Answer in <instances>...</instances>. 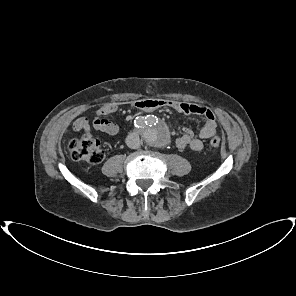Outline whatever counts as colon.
<instances>
[{
	"label": "colon",
	"instance_id": "1",
	"mask_svg": "<svg viewBox=\"0 0 296 296\" xmlns=\"http://www.w3.org/2000/svg\"><path fill=\"white\" fill-rule=\"evenodd\" d=\"M209 145L213 149L219 148L221 140L218 137H213ZM71 157L75 161L84 162L88 164H98L104 159V151L101 147L100 141L90 133L73 138L68 145Z\"/></svg>",
	"mask_w": 296,
	"mask_h": 296
}]
</instances>
